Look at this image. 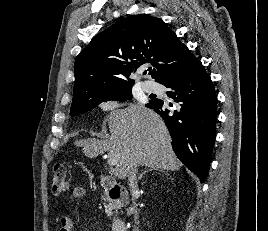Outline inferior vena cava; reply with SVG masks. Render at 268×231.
Instances as JSON below:
<instances>
[{
  "label": "inferior vena cava",
  "instance_id": "inferior-vena-cava-1",
  "mask_svg": "<svg viewBox=\"0 0 268 231\" xmlns=\"http://www.w3.org/2000/svg\"><path fill=\"white\" fill-rule=\"evenodd\" d=\"M137 172H138V166L137 165H133L130 168L129 171V175H128V184L132 193V196L134 197V194L137 191ZM132 202H133V207H131V212L132 214H134V220H135V224H139V213H138V209H137V204L135 202V199L132 198ZM133 231H139V227L134 226Z\"/></svg>",
  "mask_w": 268,
  "mask_h": 231
}]
</instances>
